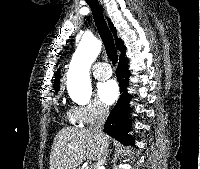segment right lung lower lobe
<instances>
[{"instance_id": "98d812e1", "label": "right lung lower lobe", "mask_w": 200, "mask_h": 169, "mask_svg": "<svg viewBox=\"0 0 200 169\" xmlns=\"http://www.w3.org/2000/svg\"><path fill=\"white\" fill-rule=\"evenodd\" d=\"M129 75L130 71L128 70V59L125 56L119 58V66L116 71V76L120 84L121 96L104 125L105 132L123 144L134 143L132 136L127 134L131 128V121L128 118V114L130 113L128 105L130 96L126 91Z\"/></svg>"}]
</instances>
